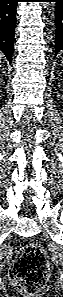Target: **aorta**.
I'll return each mask as SVG.
<instances>
[{
	"instance_id": "aorta-1",
	"label": "aorta",
	"mask_w": 63,
	"mask_h": 297,
	"mask_svg": "<svg viewBox=\"0 0 63 297\" xmlns=\"http://www.w3.org/2000/svg\"><path fill=\"white\" fill-rule=\"evenodd\" d=\"M45 8H48L49 6H50V4L49 3H44V5H43Z\"/></svg>"
}]
</instances>
